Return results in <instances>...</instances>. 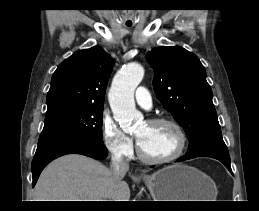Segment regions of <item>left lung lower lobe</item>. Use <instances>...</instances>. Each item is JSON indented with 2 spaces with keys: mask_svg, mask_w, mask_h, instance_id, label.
<instances>
[{
  "mask_svg": "<svg viewBox=\"0 0 259 211\" xmlns=\"http://www.w3.org/2000/svg\"><path fill=\"white\" fill-rule=\"evenodd\" d=\"M202 156L215 158L221 161L226 166V168L232 173L231 166H230V157L228 152H221L216 150H203L190 155H185L179 158L178 162L185 161L188 159H193L196 157H202Z\"/></svg>",
  "mask_w": 259,
  "mask_h": 211,
  "instance_id": "0a47b994",
  "label": "left lung lower lobe"
}]
</instances>
